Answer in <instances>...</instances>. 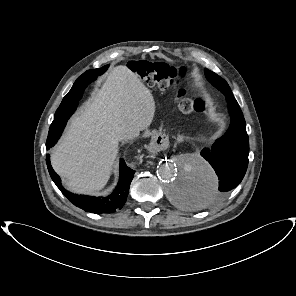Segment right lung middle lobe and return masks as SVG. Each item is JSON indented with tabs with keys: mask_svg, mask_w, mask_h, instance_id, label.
I'll return each mask as SVG.
<instances>
[{
	"mask_svg": "<svg viewBox=\"0 0 296 296\" xmlns=\"http://www.w3.org/2000/svg\"><path fill=\"white\" fill-rule=\"evenodd\" d=\"M108 68V65L99 68V69H93V70H89L87 73L88 74H96V75H101L102 73H104ZM82 94H77L76 91L71 90L69 91V93L63 98L61 105L59 106V108L57 109L55 115H54V120H61L62 118V113L63 111H70L68 113V116L65 119V122L68 120V118L71 116V114L74 112V110L76 109L78 100H80ZM66 125V123H65Z\"/></svg>",
	"mask_w": 296,
	"mask_h": 296,
	"instance_id": "obj_1",
	"label": "right lung middle lobe"
}]
</instances>
